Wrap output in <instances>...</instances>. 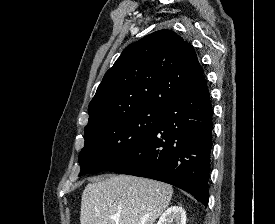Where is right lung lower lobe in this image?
<instances>
[{
    "label": "right lung lower lobe",
    "mask_w": 275,
    "mask_h": 224,
    "mask_svg": "<svg viewBox=\"0 0 275 224\" xmlns=\"http://www.w3.org/2000/svg\"><path fill=\"white\" fill-rule=\"evenodd\" d=\"M212 129V105L202 76L165 109L147 138L107 170L169 183L206 207Z\"/></svg>",
    "instance_id": "1"
}]
</instances>
